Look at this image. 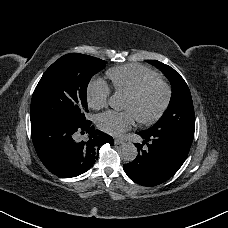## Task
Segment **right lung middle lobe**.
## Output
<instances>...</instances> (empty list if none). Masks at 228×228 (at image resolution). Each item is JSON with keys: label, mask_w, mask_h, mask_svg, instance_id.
<instances>
[{"label": "right lung middle lobe", "mask_w": 228, "mask_h": 228, "mask_svg": "<svg viewBox=\"0 0 228 228\" xmlns=\"http://www.w3.org/2000/svg\"><path fill=\"white\" fill-rule=\"evenodd\" d=\"M106 66L104 60L66 54L54 62L36 86L30 107L32 121L54 119L84 124L87 119V86L93 75Z\"/></svg>", "instance_id": "right-lung-middle-lobe-1"}]
</instances>
